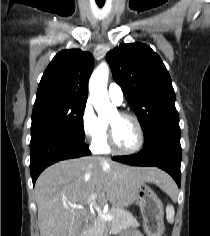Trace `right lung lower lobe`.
Segmentation results:
<instances>
[{
  "instance_id": "1",
  "label": "right lung lower lobe",
  "mask_w": 210,
  "mask_h": 236,
  "mask_svg": "<svg viewBox=\"0 0 210 236\" xmlns=\"http://www.w3.org/2000/svg\"><path fill=\"white\" fill-rule=\"evenodd\" d=\"M90 154L83 139L73 134L51 131L31 136L30 172L33 185L39 174L49 165Z\"/></svg>"
}]
</instances>
